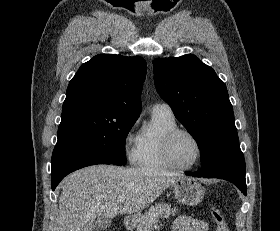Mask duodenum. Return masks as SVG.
<instances>
[{
  "label": "duodenum",
  "instance_id": "1",
  "mask_svg": "<svg viewBox=\"0 0 280 231\" xmlns=\"http://www.w3.org/2000/svg\"><path fill=\"white\" fill-rule=\"evenodd\" d=\"M125 226H130L133 222H134V219L132 217H125L124 220H123Z\"/></svg>",
  "mask_w": 280,
  "mask_h": 231
}]
</instances>
